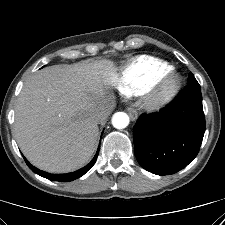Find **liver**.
I'll use <instances>...</instances> for the list:
<instances>
[{"label": "liver", "mask_w": 225, "mask_h": 225, "mask_svg": "<svg viewBox=\"0 0 225 225\" xmlns=\"http://www.w3.org/2000/svg\"><path fill=\"white\" fill-rule=\"evenodd\" d=\"M116 81L117 69L106 59L53 65L32 75L15 110V137L24 156L51 173L87 164L99 132L94 114L111 101Z\"/></svg>", "instance_id": "6515ba94"}]
</instances>
